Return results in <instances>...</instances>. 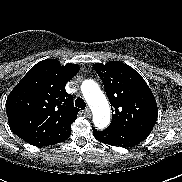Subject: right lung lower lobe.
Returning <instances> with one entry per match:
<instances>
[{"label": "right lung lower lobe", "instance_id": "98d812e1", "mask_svg": "<svg viewBox=\"0 0 182 182\" xmlns=\"http://www.w3.org/2000/svg\"><path fill=\"white\" fill-rule=\"evenodd\" d=\"M69 136H70V135H69ZM69 136H67L65 139L61 140L60 142L67 140V139L69 138ZM60 142H58V143H60ZM54 144H57V143H54ZM50 145H51V144H50Z\"/></svg>", "mask_w": 182, "mask_h": 182}]
</instances>
